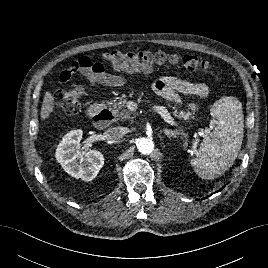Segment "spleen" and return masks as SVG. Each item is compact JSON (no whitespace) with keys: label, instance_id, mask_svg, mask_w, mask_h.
Here are the masks:
<instances>
[{"label":"spleen","instance_id":"3e777b00","mask_svg":"<svg viewBox=\"0 0 268 268\" xmlns=\"http://www.w3.org/2000/svg\"><path fill=\"white\" fill-rule=\"evenodd\" d=\"M210 114L216 126L200 144L196 157L190 160L203 179H214L233 165L244 134L242 104L237 98L222 97L213 104Z\"/></svg>","mask_w":268,"mask_h":268}]
</instances>
